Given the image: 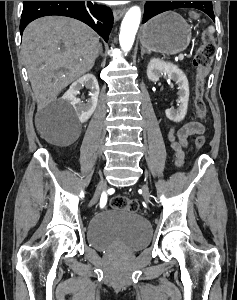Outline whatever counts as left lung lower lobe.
<instances>
[{
	"label": "left lung lower lobe",
	"mask_w": 237,
	"mask_h": 300,
	"mask_svg": "<svg viewBox=\"0 0 237 300\" xmlns=\"http://www.w3.org/2000/svg\"><path fill=\"white\" fill-rule=\"evenodd\" d=\"M201 11L208 14L213 19V21H215V16L212 8V1H206L205 8H203Z\"/></svg>",
	"instance_id": "0a47b994"
}]
</instances>
